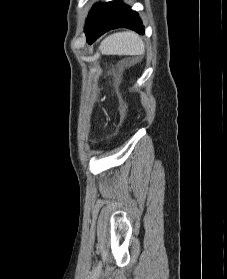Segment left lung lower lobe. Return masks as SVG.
Here are the masks:
<instances>
[{"label": "left lung lower lobe", "mask_w": 227, "mask_h": 279, "mask_svg": "<svg viewBox=\"0 0 227 279\" xmlns=\"http://www.w3.org/2000/svg\"><path fill=\"white\" fill-rule=\"evenodd\" d=\"M126 27L144 34V27L138 13L120 0L95 4L89 12L85 34L87 42L92 43L105 32Z\"/></svg>", "instance_id": "left-lung-lower-lobe-1"}]
</instances>
